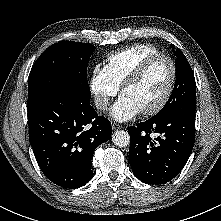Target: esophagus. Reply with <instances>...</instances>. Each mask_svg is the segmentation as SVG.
I'll list each match as a JSON object with an SVG mask.
<instances>
[{"label":"esophagus","instance_id":"34e87169","mask_svg":"<svg viewBox=\"0 0 221 221\" xmlns=\"http://www.w3.org/2000/svg\"><path fill=\"white\" fill-rule=\"evenodd\" d=\"M111 124H112L113 130H118L122 128V126L116 122H112Z\"/></svg>","mask_w":221,"mask_h":221}]
</instances>
